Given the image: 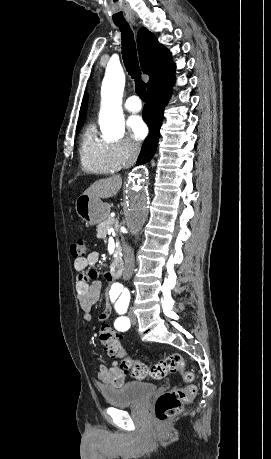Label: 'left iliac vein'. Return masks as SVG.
Masks as SVG:
<instances>
[{
  "label": "left iliac vein",
  "mask_w": 271,
  "mask_h": 459,
  "mask_svg": "<svg viewBox=\"0 0 271 459\" xmlns=\"http://www.w3.org/2000/svg\"><path fill=\"white\" fill-rule=\"evenodd\" d=\"M128 316H129V318H130L131 323H132V324H135L136 319H135V316H134V313H133V310H132V309L129 311Z\"/></svg>",
  "instance_id": "1"
}]
</instances>
